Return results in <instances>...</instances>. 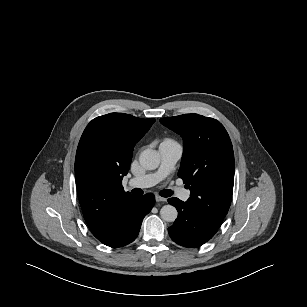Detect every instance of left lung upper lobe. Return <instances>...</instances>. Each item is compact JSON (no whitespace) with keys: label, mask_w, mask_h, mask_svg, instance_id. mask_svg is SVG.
Returning a JSON list of instances; mask_svg holds the SVG:
<instances>
[{"label":"left lung upper lobe","mask_w":307,"mask_h":307,"mask_svg":"<svg viewBox=\"0 0 307 307\" xmlns=\"http://www.w3.org/2000/svg\"><path fill=\"white\" fill-rule=\"evenodd\" d=\"M160 122L183 138L178 176L191 191L186 204L220 226L231 204L235 171L227 131L216 119L194 113L161 118Z\"/></svg>","instance_id":"left-lung-upper-lobe-1"}]
</instances>
